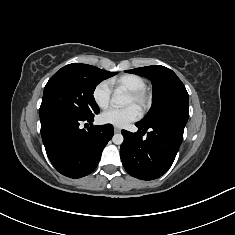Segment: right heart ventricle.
<instances>
[{
  "instance_id": "obj_1",
  "label": "right heart ventricle",
  "mask_w": 235,
  "mask_h": 235,
  "mask_svg": "<svg viewBox=\"0 0 235 235\" xmlns=\"http://www.w3.org/2000/svg\"><path fill=\"white\" fill-rule=\"evenodd\" d=\"M112 86L124 88L128 91L146 88V81L136 74H124L118 78L110 80Z\"/></svg>"
}]
</instances>
